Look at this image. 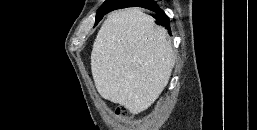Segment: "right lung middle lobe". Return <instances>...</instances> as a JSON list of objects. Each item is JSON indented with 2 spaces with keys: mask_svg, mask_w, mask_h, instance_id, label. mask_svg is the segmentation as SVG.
<instances>
[{
  "mask_svg": "<svg viewBox=\"0 0 257 130\" xmlns=\"http://www.w3.org/2000/svg\"><path fill=\"white\" fill-rule=\"evenodd\" d=\"M127 0H106L103 5L99 8L96 15V23L101 20L104 14L111 10L119 9L125 6L124 2Z\"/></svg>",
  "mask_w": 257,
  "mask_h": 130,
  "instance_id": "right-lung-middle-lobe-1",
  "label": "right lung middle lobe"
}]
</instances>
